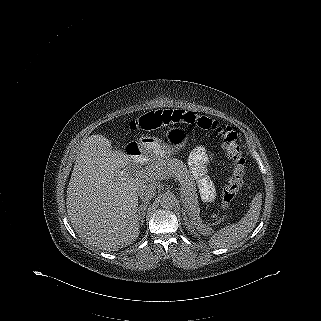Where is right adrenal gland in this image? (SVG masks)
Listing matches in <instances>:
<instances>
[{
	"label": "right adrenal gland",
	"instance_id": "1",
	"mask_svg": "<svg viewBox=\"0 0 321 321\" xmlns=\"http://www.w3.org/2000/svg\"><path fill=\"white\" fill-rule=\"evenodd\" d=\"M147 206H148V202H144L138 207V215H139L141 226L144 224L145 210Z\"/></svg>",
	"mask_w": 321,
	"mask_h": 321
}]
</instances>
